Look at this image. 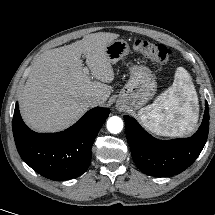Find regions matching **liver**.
Here are the masks:
<instances>
[{
  "mask_svg": "<svg viewBox=\"0 0 215 215\" xmlns=\"http://www.w3.org/2000/svg\"><path fill=\"white\" fill-rule=\"evenodd\" d=\"M118 34L98 32L41 53L34 61L20 98L25 123L38 132H56L75 123L88 109V98H109L114 71L106 46ZM96 81L83 72L81 55Z\"/></svg>",
  "mask_w": 215,
  "mask_h": 215,
  "instance_id": "6515ba94",
  "label": "liver"
}]
</instances>
